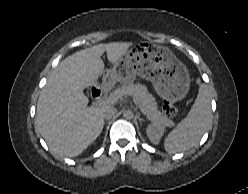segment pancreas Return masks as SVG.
I'll list each match as a JSON object with an SVG mask.
<instances>
[{
    "label": "pancreas",
    "instance_id": "obj_1",
    "mask_svg": "<svg viewBox=\"0 0 248 194\" xmlns=\"http://www.w3.org/2000/svg\"><path fill=\"white\" fill-rule=\"evenodd\" d=\"M112 96L116 98L133 96L142 113L145 114L150 121L165 126L173 125V122L158 110L155 98L148 92L144 85L139 83L124 85L116 89L112 93Z\"/></svg>",
    "mask_w": 248,
    "mask_h": 194
}]
</instances>
